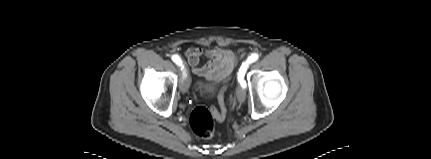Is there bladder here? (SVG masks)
<instances>
[{
  "mask_svg": "<svg viewBox=\"0 0 431 159\" xmlns=\"http://www.w3.org/2000/svg\"><path fill=\"white\" fill-rule=\"evenodd\" d=\"M216 89L215 83H206L202 85L201 90L207 92V93H213Z\"/></svg>",
  "mask_w": 431,
  "mask_h": 159,
  "instance_id": "31cf9c89",
  "label": "bladder"
}]
</instances>
